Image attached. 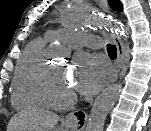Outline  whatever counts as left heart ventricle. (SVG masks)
<instances>
[{
    "instance_id": "obj_1",
    "label": "left heart ventricle",
    "mask_w": 151,
    "mask_h": 131,
    "mask_svg": "<svg viewBox=\"0 0 151 131\" xmlns=\"http://www.w3.org/2000/svg\"><path fill=\"white\" fill-rule=\"evenodd\" d=\"M54 72L49 81V93L54 98H62L73 93V87L69 84L65 76L63 65L53 66Z\"/></svg>"
}]
</instances>
